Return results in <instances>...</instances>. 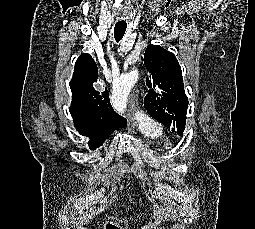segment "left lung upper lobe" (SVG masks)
Wrapping results in <instances>:
<instances>
[{
  "label": "left lung upper lobe",
  "mask_w": 255,
  "mask_h": 229,
  "mask_svg": "<svg viewBox=\"0 0 255 229\" xmlns=\"http://www.w3.org/2000/svg\"><path fill=\"white\" fill-rule=\"evenodd\" d=\"M144 64L149 71L146 84L150 88L144 98L148 114L183 136L188 107L181 67L175 55L159 45H148Z\"/></svg>",
  "instance_id": "5c2ea615"
}]
</instances>
